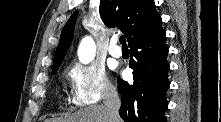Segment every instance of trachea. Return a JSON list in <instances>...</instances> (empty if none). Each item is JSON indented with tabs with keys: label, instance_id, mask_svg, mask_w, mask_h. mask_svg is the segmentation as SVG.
Wrapping results in <instances>:
<instances>
[{
	"label": "trachea",
	"instance_id": "trachea-1",
	"mask_svg": "<svg viewBox=\"0 0 221 122\" xmlns=\"http://www.w3.org/2000/svg\"><path fill=\"white\" fill-rule=\"evenodd\" d=\"M125 41H126V40H125V36H121V37H120V42H121V44L123 45V47L127 46L126 43H125Z\"/></svg>",
	"mask_w": 221,
	"mask_h": 122
}]
</instances>
